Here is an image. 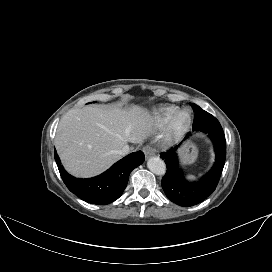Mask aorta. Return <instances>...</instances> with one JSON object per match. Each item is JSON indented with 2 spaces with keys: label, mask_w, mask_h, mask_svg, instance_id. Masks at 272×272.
<instances>
[{
  "label": "aorta",
  "mask_w": 272,
  "mask_h": 272,
  "mask_svg": "<svg viewBox=\"0 0 272 272\" xmlns=\"http://www.w3.org/2000/svg\"><path fill=\"white\" fill-rule=\"evenodd\" d=\"M148 169L156 175L162 176L166 172V164L159 157H151L147 161Z\"/></svg>",
  "instance_id": "aorta-1"
}]
</instances>
